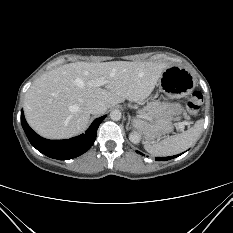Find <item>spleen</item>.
<instances>
[{"label": "spleen", "mask_w": 233, "mask_h": 233, "mask_svg": "<svg viewBox=\"0 0 233 233\" xmlns=\"http://www.w3.org/2000/svg\"><path fill=\"white\" fill-rule=\"evenodd\" d=\"M203 120H198L194 126L180 134L170 136L161 141H145V150L153 156H171L188 149L200 137Z\"/></svg>", "instance_id": "1"}]
</instances>
